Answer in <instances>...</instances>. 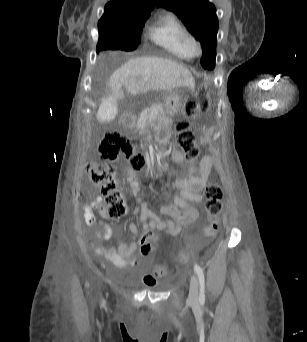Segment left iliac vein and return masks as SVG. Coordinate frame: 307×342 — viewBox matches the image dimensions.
I'll return each mask as SVG.
<instances>
[{
    "mask_svg": "<svg viewBox=\"0 0 307 342\" xmlns=\"http://www.w3.org/2000/svg\"><path fill=\"white\" fill-rule=\"evenodd\" d=\"M199 282L195 275H192L189 289V301L192 303L198 302Z\"/></svg>",
    "mask_w": 307,
    "mask_h": 342,
    "instance_id": "obj_1",
    "label": "left iliac vein"
}]
</instances>
